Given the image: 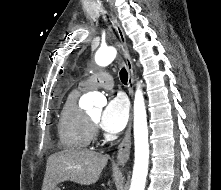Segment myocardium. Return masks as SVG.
Segmentation results:
<instances>
[{
	"label": "myocardium",
	"instance_id": "obj_1",
	"mask_svg": "<svg viewBox=\"0 0 221 190\" xmlns=\"http://www.w3.org/2000/svg\"><path fill=\"white\" fill-rule=\"evenodd\" d=\"M88 118H89V122H90L91 127L94 128L96 126V121L90 117H88Z\"/></svg>",
	"mask_w": 221,
	"mask_h": 190
}]
</instances>
